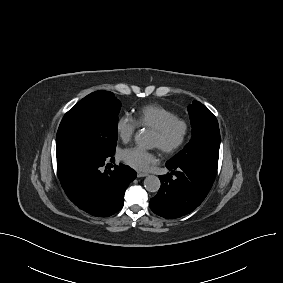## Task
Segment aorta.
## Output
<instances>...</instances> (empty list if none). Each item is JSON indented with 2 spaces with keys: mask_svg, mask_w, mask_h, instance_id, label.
Instances as JSON below:
<instances>
[{
  "mask_svg": "<svg viewBox=\"0 0 283 283\" xmlns=\"http://www.w3.org/2000/svg\"><path fill=\"white\" fill-rule=\"evenodd\" d=\"M135 142L139 147L150 148L151 138L150 135L145 131L136 133ZM161 182L157 176L149 175L144 180V187L148 192H157L160 189Z\"/></svg>",
  "mask_w": 283,
  "mask_h": 283,
  "instance_id": "obj_1",
  "label": "aorta"
}]
</instances>
